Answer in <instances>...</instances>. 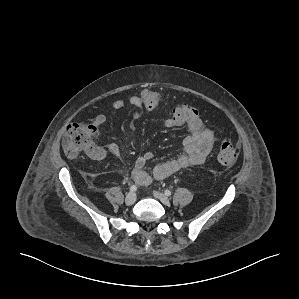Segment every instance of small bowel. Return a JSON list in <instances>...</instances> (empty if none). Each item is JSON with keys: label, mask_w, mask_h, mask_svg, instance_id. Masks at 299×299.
I'll return each mask as SVG.
<instances>
[{"label": "small bowel", "mask_w": 299, "mask_h": 299, "mask_svg": "<svg viewBox=\"0 0 299 299\" xmlns=\"http://www.w3.org/2000/svg\"><path fill=\"white\" fill-rule=\"evenodd\" d=\"M127 106L132 107V118L134 120L141 118L146 112L140 95H133L127 101L119 99L111 103V107L115 110L123 109ZM105 123L106 116L99 114L93 119L92 126L98 128ZM164 125L167 128L178 127L168 117L164 120ZM186 127L188 134L183 139V152L175 159L156 165L153 168L152 175L147 173L145 167L153 159V154L147 152L136 159L131 172V176L136 183L147 185L151 182L152 178L162 180L181 169L200 165L205 161L215 140L214 132L206 127L200 118L191 121ZM89 154L94 159H103L107 155L118 156L120 148L116 143H111L106 149L95 148Z\"/></svg>", "instance_id": "1"}]
</instances>
